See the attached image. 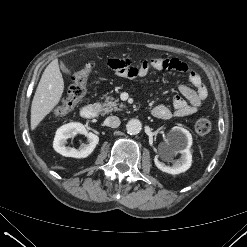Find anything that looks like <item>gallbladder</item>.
I'll return each mask as SVG.
<instances>
[{
  "instance_id": "obj_1",
  "label": "gallbladder",
  "mask_w": 247,
  "mask_h": 247,
  "mask_svg": "<svg viewBox=\"0 0 247 247\" xmlns=\"http://www.w3.org/2000/svg\"><path fill=\"white\" fill-rule=\"evenodd\" d=\"M60 68L67 75L71 73L70 70L66 67V65L63 62H60Z\"/></svg>"
}]
</instances>
